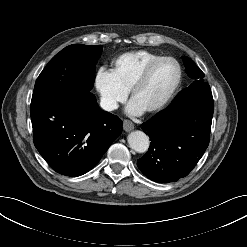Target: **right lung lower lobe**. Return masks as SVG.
<instances>
[{"instance_id":"right-lung-lower-lobe-1","label":"right lung lower lobe","mask_w":247,"mask_h":247,"mask_svg":"<svg viewBox=\"0 0 247 247\" xmlns=\"http://www.w3.org/2000/svg\"><path fill=\"white\" fill-rule=\"evenodd\" d=\"M34 144L59 174L77 177L100 161L122 132V121L102 111L92 93L71 98L50 92L31 101Z\"/></svg>"}]
</instances>
